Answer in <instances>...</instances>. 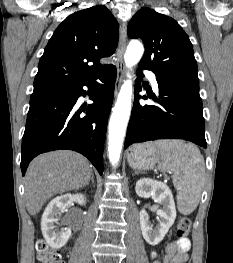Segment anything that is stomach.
<instances>
[{
  "instance_id": "1",
  "label": "stomach",
  "mask_w": 233,
  "mask_h": 263,
  "mask_svg": "<svg viewBox=\"0 0 233 263\" xmlns=\"http://www.w3.org/2000/svg\"><path fill=\"white\" fill-rule=\"evenodd\" d=\"M166 155L156 143H143L133 145L128 153L129 165L137 170L153 169L156 163L163 160Z\"/></svg>"
}]
</instances>
